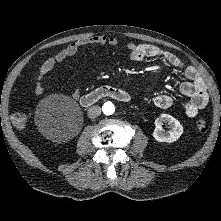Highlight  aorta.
Wrapping results in <instances>:
<instances>
[{"instance_id":"1","label":"aorta","mask_w":221,"mask_h":221,"mask_svg":"<svg viewBox=\"0 0 221 221\" xmlns=\"http://www.w3.org/2000/svg\"><path fill=\"white\" fill-rule=\"evenodd\" d=\"M115 112V107L112 103L108 102L104 106V113L107 115H112Z\"/></svg>"}]
</instances>
